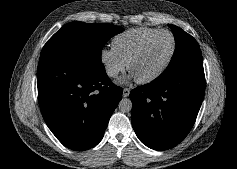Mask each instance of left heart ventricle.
Instances as JSON below:
<instances>
[{"label": "left heart ventricle", "mask_w": 237, "mask_h": 169, "mask_svg": "<svg viewBox=\"0 0 237 169\" xmlns=\"http://www.w3.org/2000/svg\"><path fill=\"white\" fill-rule=\"evenodd\" d=\"M172 48L169 34L156 36L145 48L139 58L131 65V73L137 78H145L156 72L167 60Z\"/></svg>", "instance_id": "1"}]
</instances>
